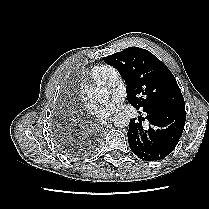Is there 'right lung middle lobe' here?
<instances>
[{
    "mask_svg": "<svg viewBox=\"0 0 209 209\" xmlns=\"http://www.w3.org/2000/svg\"><path fill=\"white\" fill-rule=\"evenodd\" d=\"M59 148L64 154H67L68 156L76 157L77 155H79L78 150H76L75 148L71 146H68L67 144H64V143L59 144Z\"/></svg>",
    "mask_w": 209,
    "mask_h": 209,
    "instance_id": "obj_1",
    "label": "right lung middle lobe"
}]
</instances>
